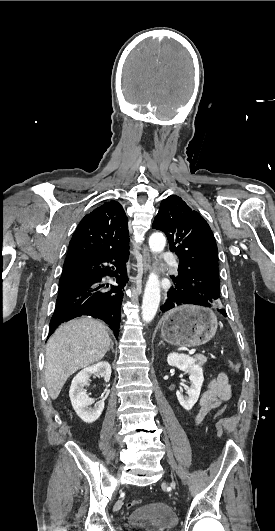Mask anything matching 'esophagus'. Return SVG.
Wrapping results in <instances>:
<instances>
[{"mask_svg": "<svg viewBox=\"0 0 275 531\" xmlns=\"http://www.w3.org/2000/svg\"><path fill=\"white\" fill-rule=\"evenodd\" d=\"M150 263H151L150 253L147 247L145 246L143 249V268H144L145 273L150 269Z\"/></svg>", "mask_w": 275, "mask_h": 531, "instance_id": "obj_1", "label": "esophagus"}]
</instances>
